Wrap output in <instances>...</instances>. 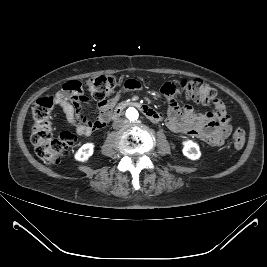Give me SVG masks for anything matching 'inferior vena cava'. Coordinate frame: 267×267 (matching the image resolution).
Returning a JSON list of instances; mask_svg holds the SVG:
<instances>
[{"label":"inferior vena cava","instance_id":"obj_1","mask_svg":"<svg viewBox=\"0 0 267 267\" xmlns=\"http://www.w3.org/2000/svg\"><path fill=\"white\" fill-rule=\"evenodd\" d=\"M127 124V120L124 118H118L113 122L114 129H120Z\"/></svg>","mask_w":267,"mask_h":267}]
</instances>
